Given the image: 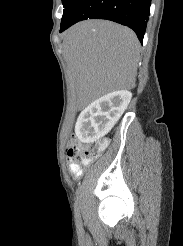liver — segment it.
Here are the masks:
<instances>
[{
	"mask_svg": "<svg viewBox=\"0 0 183 246\" xmlns=\"http://www.w3.org/2000/svg\"><path fill=\"white\" fill-rule=\"evenodd\" d=\"M140 43L135 33L106 20L82 21L63 34V53L84 105L136 85Z\"/></svg>",
	"mask_w": 183,
	"mask_h": 246,
	"instance_id": "6515ba94",
	"label": "liver"
}]
</instances>
